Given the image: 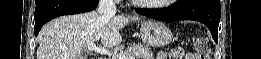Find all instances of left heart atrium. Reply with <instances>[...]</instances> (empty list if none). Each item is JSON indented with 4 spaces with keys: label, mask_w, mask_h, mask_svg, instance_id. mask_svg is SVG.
<instances>
[{
    "label": "left heart atrium",
    "mask_w": 261,
    "mask_h": 59,
    "mask_svg": "<svg viewBox=\"0 0 261 59\" xmlns=\"http://www.w3.org/2000/svg\"><path fill=\"white\" fill-rule=\"evenodd\" d=\"M139 2L144 3V2H149V1H143V0H140Z\"/></svg>",
    "instance_id": "1"
}]
</instances>
